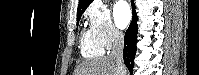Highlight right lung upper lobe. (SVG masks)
Wrapping results in <instances>:
<instances>
[{
  "label": "right lung upper lobe",
  "instance_id": "cb5924a9",
  "mask_svg": "<svg viewBox=\"0 0 199 75\" xmlns=\"http://www.w3.org/2000/svg\"><path fill=\"white\" fill-rule=\"evenodd\" d=\"M93 0H79L77 16L82 15Z\"/></svg>",
  "mask_w": 199,
  "mask_h": 75
}]
</instances>
